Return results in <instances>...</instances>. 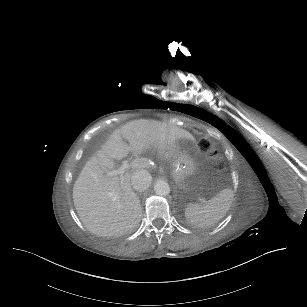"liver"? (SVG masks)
Wrapping results in <instances>:
<instances>
[{
    "mask_svg": "<svg viewBox=\"0 0 307 307\" xmlns=\"http://www.w3.org/2000/svg\"><path fill=\"white\" fill-rule=\"evenodd\" d=\"M180 139L194 141L187 130L157 120H133L114 130L103 152L87 161L74 183V206L85 227L99 236H120L137 228L142 209L131 187L132 173L108 176L107 172L114 167L113 159L121 160L133 152L136 158L132 168L136 171L149 168L148 159L139 155L157 147L170 159Z\"/></svg>",
    "mask_w": 307,
    "mask_h": 307,
    "instance_id": "obj_1",
    "label": "liver"
}]
</instances>
